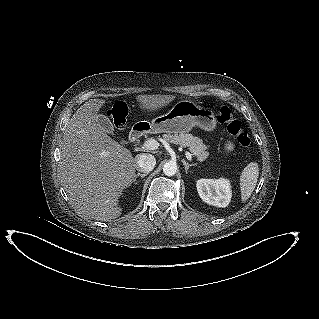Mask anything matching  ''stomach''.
<instances>
[{
	"label": "stomach",
	"mask_w": 319,
	"mask_h": 319,
	"mask_svg": "<svg viewBox=\"0 0 319 319\" xmlns=\"http://www.w3.org/2000/svg\"><path fill=\"white\" fill-rule=\"evenodd\" d=\"M149 124L155 133L183 134L195 126L213 131L216 128V118L212 110L190 100H181L168 113L154 118Z\"/></svg>",
	"instance_id": "0dacf381"
}]
</instances>
